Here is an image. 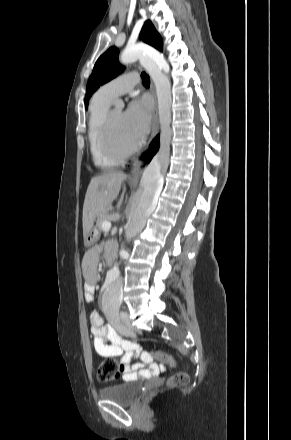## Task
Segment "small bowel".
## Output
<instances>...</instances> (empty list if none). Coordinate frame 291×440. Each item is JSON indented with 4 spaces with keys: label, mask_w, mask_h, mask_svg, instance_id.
Returning <instances> with one entry per match:
<instances>
[{
    "label": "small bowel",
    "mask_w": 291,
    "mask_h": 440,
    "mask_svg": "<svg viewBox=\"0 0 291 440\" xmlns=\"http://www.w3.org/2000/svg\"><path fill=\"white\" fill-rule=\"evenodd\" d=\"M108 251L113 249L109 244ZM107 251V252H108ZM101 260V248L89 249L82 259V270L86 283L84 301L88 304L94 299L96 283L99 280L98 267ZM91 331L94 335L96 352L104 358L121 356L120 371L126 380L157 377L165 371L162 364L144 359L136 342L123 340L114 328L106 325L98 312L90 314ZM131 362H134L131 364Z\"/></svg>",
    "instance_id": "1"
}]
</instances>
